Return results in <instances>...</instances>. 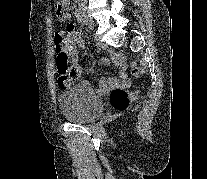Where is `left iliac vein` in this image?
I'll use <instances>...</instances> for the list:
<instances>
[{
    "label": "left iliac vein",
    "mask_w": 207,
    "mask_h": 179,
    "mask_svg": "<svg viewBox=\"0 0 207 179\" xmlns=\"http://www.w3.org/2000/svg\"><path fill=\"white\" fill-rule=\"evenodd\" d=\"M85 15H86V12H85ZM86 25H87V27L90 28V29H92V27H93V22H92L91 19H89L88 17H87V19H86Z\"/></svg>",
    "instance_id": "left-iliac-vein-1"
}]
</instances>
